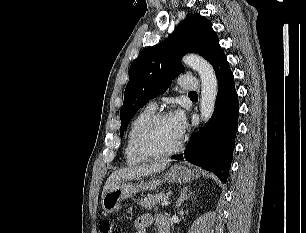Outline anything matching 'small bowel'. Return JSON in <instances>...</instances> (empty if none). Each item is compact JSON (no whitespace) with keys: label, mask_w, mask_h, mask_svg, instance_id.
Listing matches in <instances>:
<instances>
[{"label":"small bowel","mask_w":306,"mask_h":233,"mask_svg":"<svg viewBox=\"0 0 306 233\" xmlns=\"http://www.w3.org/2000/svg\"><path fill=\"white\" fill-rule=\"evenodd\" d=\"M153 218L150 214H142L134 223V233H146L147 228L152 224ZM155 223L160 231L163 225L168 224L164 215H158L155 218Z\"/></svg>","instance_id":"c3829d8e"}]
</instances>
